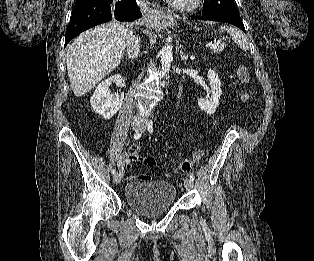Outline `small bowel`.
I'll return each mask as SVG.
<instances>
[{"label":"small bowel","mask_w":314,"mask_h":261,"mask_svg":"<svg viewBox=\"0 0 314 261\" xmlns=\"http://www.w3.org/2000/svg\"><path fill=\"white\" fill-rule=\"evenodd\" d=\"M140 148L138 146H134L132 148H130L126 153H124L120 160V167L122 169V172L129 170L130 168V164L132 162L137 161L138 158V152H139ZM130 179H136L135 176H131Z\"/></svg>","instance_id":"small-bowel-1"}]
</instances>
